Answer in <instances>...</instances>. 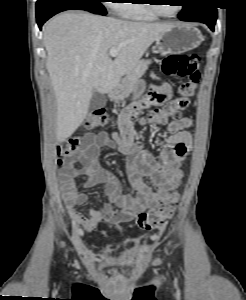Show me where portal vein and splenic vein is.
Returning a JSON list of instances; mask_svg holds the SVG:
<instances>
[{"label":"portal vein and splenic vein","instance_id":"18ae733b","mask_svg":"<svg viewBox=\"0 0 246 300\" xmlns=\"http://www.w3.org/2000/svg\"><path fill=\"white\" fill-rule=\"evenodd\" d=\"M118 53H119V49L112 48V49L109 50V55L111 57H116L118 55Z\"/></svg>","mask_w":246,"mask_h":300}]
</instances>
